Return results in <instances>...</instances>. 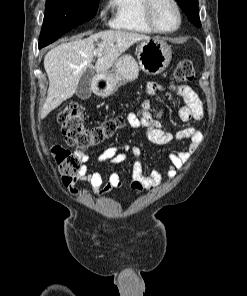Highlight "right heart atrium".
<instances>
[{
    "instance_id": "obj_1",
    "label": "right heart atrium",
    "mask_w": 247,
    "mask_h": 296,
    "mask_svg": "<svg viewBox=\"0 0 247 296\" xmlns=\"http://www.w3.org/2000/svg\"><path fill=\"white\" fill-rule=\"evenodd\" d=\"M103 16H104V14L102 13V14H101V17H103Z\"/></svg>"
}]
</instances>
